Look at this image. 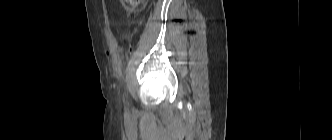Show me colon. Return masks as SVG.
<instances>
[{
  "mask_svg": "<svg viewBox=\"0 0 332 140\" xmlns=\"http://www.w3.org/2000/svg\"><path fill=\"white\" fill-rule=\"evenodd\" d=\"M142 0H122V4L123 6L128 9V10H132L134 8H136Z\"/></svg>",
  "mask_w": 332,
  "mask_h": 140,
  "instance_id": "colon-1",
  "label": "colon"
}]
</instances>
